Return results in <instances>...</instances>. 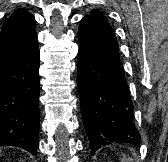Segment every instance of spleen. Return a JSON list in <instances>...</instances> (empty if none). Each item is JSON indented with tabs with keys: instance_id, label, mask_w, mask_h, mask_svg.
<instances>
[{
	"instance_id": "3e777b00",
	"label": "spleen",
	"mask_w": 168,
	"mask_h": 162,
	"mask_svg": "<svg viewBox=\"0 0 168 162\" xmlns=\"http://www.w3.org/2000/svg\"><path fill=\"white\" fill-rule=\"evenodd\" d=\"M121 162H133V159L130 158V157L126 158V156L123 155V158H122Z\"/></svg>"
}]
</instances>
